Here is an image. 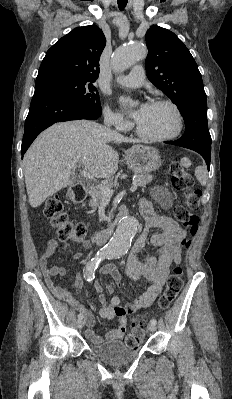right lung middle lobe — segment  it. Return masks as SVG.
I'll return each instance as SVG.
<instances>
[{"mask_svg":"<svg viewBox=\"0 0 232 399\" xmlns=\"http://www.w3.org/2000/svg\"><path fill=\"white\" fill-rule=\"evenodd\" d=\"M92 83L79 79L56 77L36 82L35 87H51L60 90L80 103L96 111H101L99 94Z\"/></svg>","mask_w":232,"mask_h":399,"instance_id":"obj_1","label":"right lung middle lobe"}]
</instances>
